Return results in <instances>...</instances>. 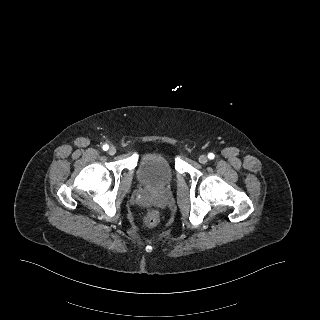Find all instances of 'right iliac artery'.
Here are the masks:
<instances>
[{
  "mask_svg": "<svg viewBox=\"0 0 320 320\" xmlns=\"http://www.w3.org/2000/svg\"><path fill=\"white\" fill-rule=\"evenodd\" d=\"M102 148H103L104 151H107L109 149V146L105 144V145H103Z\"/></svg>",
  "mask_w": 320,
  "mask_h": 320,
  "instance_id": "1",
  "label": "right iliac artery"
}]
</instances>
